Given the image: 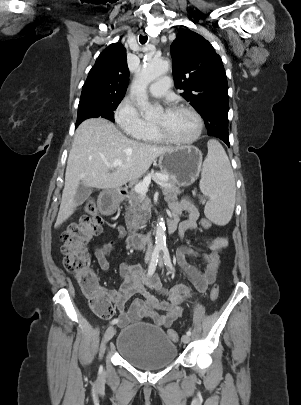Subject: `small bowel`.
I'll return each mask as SVG.
<instances>
[{
  "label": "small bowel",
  "instance_id": "1",
  "mask_svg": "<svg viewBox=\"0 0 301 405\" xmlns=\"http://www.w3.org/2000/svg\"><path fill=\"white\" fill-rule=\"evenodd\" d=\"M171 219L179 223V235L184 238L189 230L198 227L199 211L190 201L183 199L169 204ZM186 218L181 220L182 214ZM120 238L125 236V229L117 227ZM228 240L216 237L209 243L210 251L200 254L194 249L182 246L176 252V261L182 271L188 276L198 293H204L216 280L219 270V252L226 248ZM114 248L112 240L105 241L95 248V257L103 270L110 268L109 254ZM189 258H200L204 261V268L199 269L189 261ZM122 284L120 288H103V295L118 312L119 326H126L142 319H150L157 325L169 327L183 314V303L191 296L189 288L183 285L174 286L170 290L162 287L159 276H146L144 271L135 263H123L120 268ZM151 291L157 293L153 294ZM135 295L141 298L131 299Z\"/></svg>",
  "mask_w": 301,
  "mask_h": 405
}]
</instances>
